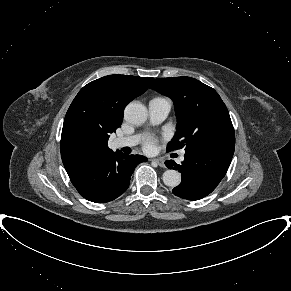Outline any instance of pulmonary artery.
Here are the masks:
<instances>
[{
	"mask_svg": "<svg viewBox=\"0 0 291 291\" xmlns=\"http://www.w3.org/2000/svg\"><path fill=\"white\" fill-rule=\"evenodd\" d=\"M149 117L153 124H159L168 116L171 109V102L167 98L155 97L150 100ZM141 135H131L116 138L113 142L115 148L132 147L141 141ZM184 153V152H182ZM183 159V156L181 157Z\"/></svg>",
	"mask_w": 291,
	"mask_h": 291,
	"instance_id": "obj_1",
	"label": "pulmonary artery"
}]
</instances>
